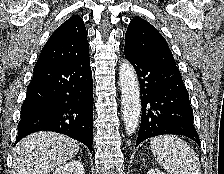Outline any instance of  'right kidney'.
<instances>
[{
  "instance_id": "1",
  "label": "right kidney",
  "mask_w": 224,
  "mask_h": 174,
  "mask_svg": "<svg viewBox=\"0 0 224 174\" xmlns=\"http://www.w3.org/2000/svg\"><path fill=\"white\" fill-rule=\"evenodd\" d=\"M53 174H85L80 161L72 160L59 166Z\"/></svg>"
}]
</instances>
